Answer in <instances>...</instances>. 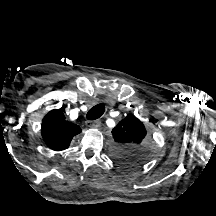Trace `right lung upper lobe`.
I'll return each instance as SVG.
<instances>
[{"label": "right lung upper lobe", "mask_w": 216, "mask_h": 216, "mask_svg": "<svg viewBox=\"0 0 216 216\" xmlns=\"http://www.w3.org/2000/svg\"><path fill=\"white\" fill-rule=\"evenodd\" d=\"M81 131L78 125L65 120L61 109L50 111L42 121L41 133L43 140L54 151L67 149L72 138Z\"/></svg>", "instance_id": "right-lung-upper-lobe-1"}]
</instances>
